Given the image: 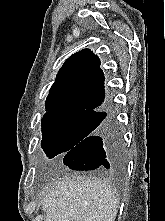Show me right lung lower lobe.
<instances>
[{"mask_svg":"<svg viewBox=\"0 0 165 221\" xmlns=\"http://www.w3.org/2000/svg\"><path fill=\"white\" fill-rule=\"evenodd\" d=\"M103 122L97 130L84 138L64 158L63 163L73 170L110 169L119 171L122 168L121 134L115 122L112 109L101 112Z\"/></svg>","mask_w":165,"mask_h":221,"instance_id":"1","label":"right lung lower lobe"}]
</instances>
